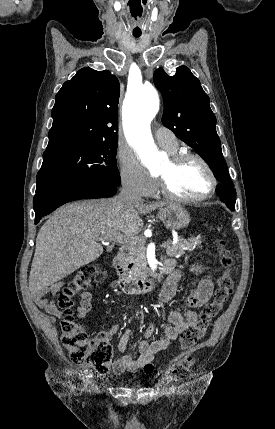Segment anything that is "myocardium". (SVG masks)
Listing matches in <instances>:
<instances>
[{
    "label": "myocardium",
    "instance_id": "obj_1",
    "mask_svg": "<svg viewBox=\"0 0 275 429\" xmlns=\"http://www.w3.org/2000/svg\"><path fill=\"white\" fill-rule=\"evenodd\" d=\"M195 160L199 162L204 169L206 170L208 177L210 179V188L208 192L197 198H188V197H182L177 194H175L167 185L166 181L163 178H158L159 188L161 193L168 199H171L173 201L184 203V204H199L202 202L207 201L208 199L212 198L214 194L216 193L217 187H218V179L215 174V171L211 167V165L208 163V161L196 153H176L173 154L170 157V161L173 165H179L181 163H184L186 161Z\"/></svg>",
    "mask_w": 275,
    "mask_h": 429
}]
</instances>
